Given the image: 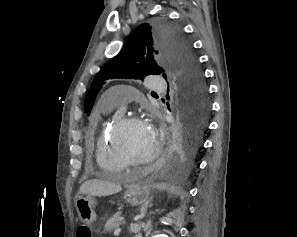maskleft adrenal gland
<instances>
[{"mask_svg": "<svg viewBox=\"0 0 297 237\" xmlns=\"http://www.w3.org/2000/svg\"><path fill=\"white\" fill-rule=\"evenodd\" d=\"M146 211H147V206H144L141 208L140 218H144Z\"/></svg>", "mask_w": 297, "mask_h": 237, "instance_id": "a2214340", "label": "left adrenal gland"}]
</instances>
